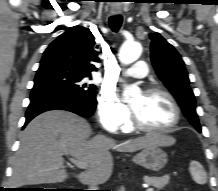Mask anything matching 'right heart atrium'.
<instances>
[{
    "label": "right heart atrium",
    "mask_w": 218,
    "mask_h": 191,
    "mask_svg": "<svg viewBox=\"0 0 218 191\" xmlns=\"http://www.w3.org/2000/svg\"><path fill=\"white\" fill-rule=\"evenodd\" d=\"M97 119L107 131L116 132L130 119V111L111 90L102 91L97 103Z\"/></svg>",
    "instance_id": "1"
}]
</instances>
